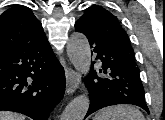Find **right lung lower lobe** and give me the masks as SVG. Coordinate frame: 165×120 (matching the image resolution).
<instances>
[{"instance_id": "1", "label": "right lung lower lobe", "mask_w": 165, "mask_h": 120, "mask_svg": "<svg viewBox=\"0 0 165 120\" xmlns=\"http://www.w3.org/2000/svg\"><path fill=\"white\" fill-rule=\"evenodd\" d=\"M64 92V69L46 37L0 54V110L47 120Z\"/></svg>"}]
</instances>
